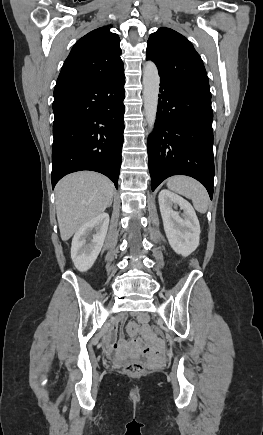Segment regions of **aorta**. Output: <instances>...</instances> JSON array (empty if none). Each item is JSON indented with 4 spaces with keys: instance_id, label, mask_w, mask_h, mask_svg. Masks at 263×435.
I'll use <instances>...</instances> for the list:
<instances>
[{
    "instance_id": "1",
    "label": "aorta",
    "mask_w": 263,
    "mask_h": 435,
    "mask_svg": "<svg viewBox=\"0 0 263 435\" xmlns=\"http://www.w3.org/2000/svg\"><path fill=\"white\" fill-rule=\"evenodd\" d=\"M160 77L156 65L148 61L143 67V99L148 129L153 130L158 107Z\"/></svg>"
}]
</instances>
